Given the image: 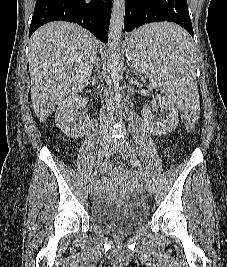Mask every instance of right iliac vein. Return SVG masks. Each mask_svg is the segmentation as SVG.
<instances>
[{"instance_id": "obj_1", "label": "right iliac vein", "mask_w": 227, "mask_h": 267, "mask_svg": "<svg viewBox=\"0 0 227 267\" xmlns=\"http://www.w3.org/2000/svg\"><path fill=\"white\" fill-rule=\"evenodd\" d=\"M110 147V142L106 137H102L99 144V160L102 161L104 156L107 154ZM96 185V178L93 177L90 181L89 191L91 192Z\"/></svg>"}]
</instances>
